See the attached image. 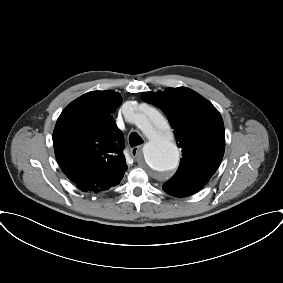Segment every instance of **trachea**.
I'll list each match as a JSON object with an SVG mask.
<instances>
[{"instance_id":"1","label":"trachea","mask_w":283,"mask_h":283,"mask_svg":"<svg viewBox=\"0 0 283 283\" xmlns=\"http://www.w3.org/2000/svg\"><path fill=\"white\" fill-rule=\"evenodd\" d=\"M144 141L143 139L136 133L132 132L129 136V143L131 147L137 146L142 144Z\"/></svg>"}]
</instances>
